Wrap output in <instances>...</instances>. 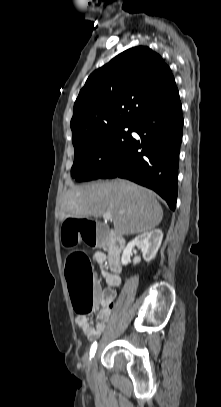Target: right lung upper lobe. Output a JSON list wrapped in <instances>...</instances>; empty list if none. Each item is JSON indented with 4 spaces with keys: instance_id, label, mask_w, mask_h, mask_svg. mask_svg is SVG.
I'll return each instance as SVG.
<instances>
[{
    "instance_id": "right-lung-upper-lobe-1",
    "label": "right lung upper lobe",
    "mask_w": 221,
    "mask_h": 407,
    "mask_svg": "<svg viewBox=\"0 0 221 407\" xmlns=\"http://www.w3.org/2000/svg\"><path fill=\"white\" fill-rule=\"evenodd\" d=\"M176 89L169 66L146 46L130 48L87 79L74 104L73 144L104 130L134 124Z\"/></svg>"
}]
</instances>
